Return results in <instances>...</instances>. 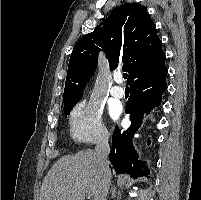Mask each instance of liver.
Returning <instances> with one entry per match:
<instances>
[{"label": "liver", "instance_id": "1", "mask_svg": "<svg viewBox=\"0 0 201 200\" xmlns=\"http://www.w3.org/2000/svg\"><path fill=\"white\" fill-rule=\"evenodd\" d=\"M111 172H109V179ZM103 174L92 150L61 157L45 176L40 200H85L86 194L99 200Z\"/></svg>", "mask_w": 201, "mask_h": 200}]
</instances>
